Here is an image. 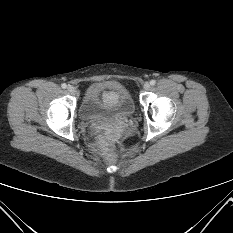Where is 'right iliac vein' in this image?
I'll list each match as a JSON object with an SVG mask.
<instances>
[{
  "label": "right iliac vein",
  "mask_w": 233,
  "mask_h": 233,
  "mask_svg": "<svg viewBox=\"0 0 233 233\" xmlns=\"http://www.w3.org/2000/svg\"><path fill=\"white\" fill-rule=\"evenodd\" d=\"M67 91L70 93V94H75L76 93V88L73 87L72 85H69L67 87Z\"/></svg>",
  "instance_id": "right-iliac-vein-1"
}]
</instances>
